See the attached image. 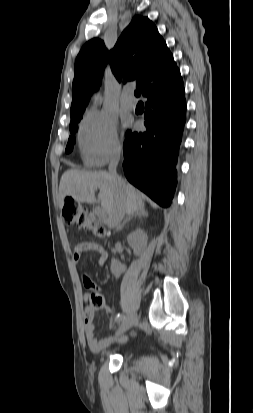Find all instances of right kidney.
<instances>
[{
    "label": "right kidney",
    "mask_w": 253,
    "mask_h": 413,
    "mask_svg": "<svg viewBox=\"0 0 253 413\" xmlns=\"http://www.w3.org/2000/svg\"><path fill=\"white\" fill-rule=\"evenodd\" d=\"M147 238V234L142 229L138 228L128 235L127 241L128 244L134 249L135 253L140 254L146 247ZM125 270V265L116 259H112L111 272L116 278H119Z\"/></svg>",
    "instance_id": "ca27d5eb"
}]
</instances>
